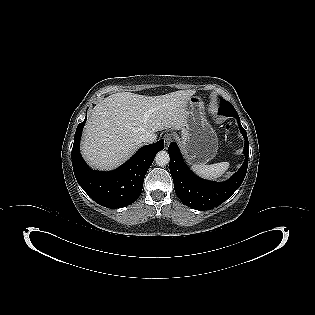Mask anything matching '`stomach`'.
Segmentation results:
<instances>
[{
    "label": "stomach",
    "instance_id": "stomach-1",
    "mask_svg": "<svg viewBox=\"0 0 315 315\" xmlns=\"http://www.w3.org/2000/svg\"><path fill=\"white\" fill-rule=\"evenodd\" d=\"M187 112L186 123L178 139L180 147L190 163H206L217 153V134L206 119L200 97L193 95L189 99Z\"/></svg>",
    "mask_w": 315,
    "mask_h": 315
}]
</instances>
